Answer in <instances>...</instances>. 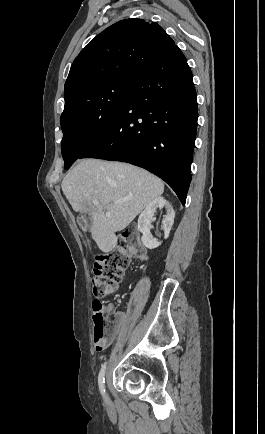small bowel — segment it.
I'll return each mask as SVG.
<instances>
[{
    "label": "small bowel",
    "mask_w": 265,
    "mask_h": 434,
    "mask_svg": "<svg viewBox=\"0 0 265 434\" xmlns=\"http://www.w3.org/2000/svg\"><path fill=\"white\" fill-rule=\"evenodd\" d=\"M106 311L111 312L114 315V321L110 322V331L108 336V341L110 344L119 334V332L128 324V317L125 315V313L121 311H115L114 306L112 304H109L106 307ZM96 354L99 355L101 354V352H96Z\"/></svg>",
    "instance_id": "c3829d8e"
}]
</instances>
